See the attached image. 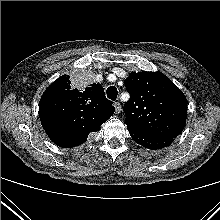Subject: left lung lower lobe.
I'll return each instance as SVG.
<instances>
[{
  "label": "left lung lower lobe",
  "mask_w": 220,
  "mask_h": 220,
  "mask_svg": "<svg viewBox=\"0 0 220 220\" xmlns=\"http://www.w3.org/2000/svg\"><path fill=\"white\" fill-rule=\"evenodd\" d=\"M129 133L135 142L149 149H161L167 147L175 139L168 137L149 136L131 131H129Z\"/></svg>",
  "instance_id": "0a47b994"
}]
</instances>
